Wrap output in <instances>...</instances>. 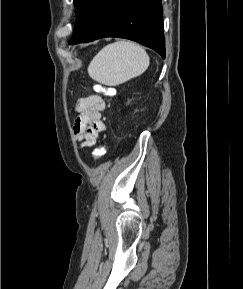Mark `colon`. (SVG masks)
Returning a JSON list of instances; mask_svg holds the SVG:
<instances>
[{
	"label": "colon",
	"mask_w": 243,
	"mask_h": 289,
	"mask_svg": "<svg viewBox=\"0 0 243 289\" xmlns=\"http://www.w3.org/2000/svg\"><path fill=\"white\" fill-rule=\"evenodd\" d=\"M96 90L103 93L104 95H111L112 94V89L111 88H107L101 85H97L96 86ZM94 158L95 159H100L105 155V148L104 146H99L98 148H96L93 152Z\"/></svg>",
	"instance_id": "colon-1"
}]
</instances>
